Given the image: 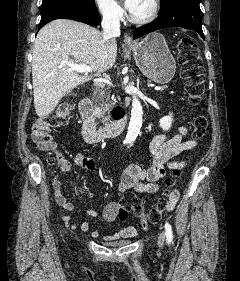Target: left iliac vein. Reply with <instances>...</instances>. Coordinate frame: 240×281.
<instances>
[{"mask_svg": "<svg viewBox=\"0 0 240 281\" xmlns=\"http://www.w3.org/2000/svg\"><path fill=\"white\" fill-rule=\"evenodd\" d=\"M165 241V234L162 232L158 237V246L162 247Z\"/></svg>", "mask_w": 240, "mask_h": 281, "instance_id": "1", "label": "left iliac vein"}]
</instances>
